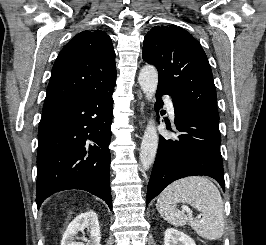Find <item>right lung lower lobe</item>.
Masks as SVG:
<instances>
[{
  "mask_svg": "<svg viewBox=\"0 0 266 245\" xmlns=\"http://www.w3.org/2000/svg\"><path fill=\"white\" fill-rule=\"evenodd\" d=\"M113 90L85 94L43 114L38 130L39 209L50 195L88 191L112 209L110 151Z\"/></svg>",
  "mask_w": 266,
  "mask_h": 245,
  "instance_id": "right-lung-lower-lobe-1",
  "label": "right lung lower lobe"
}]
</instances>
